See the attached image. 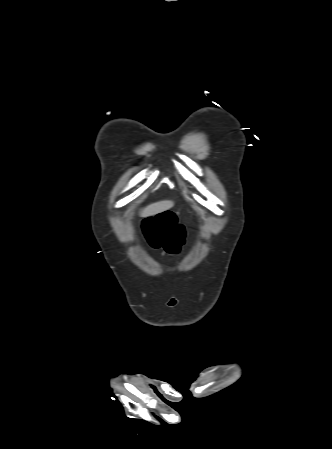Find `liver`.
Segmentation results:
<instances>
[{"label":"liver","mask_w":332,"mask_h":449,"mask_svg":"<svg viewBox=\"0 0 332 449\" xmlns=\"http://www.w3.org/2000/svg\"><path fill=\"white\" fill-rule=\"evenodd\" d=\"M174 206V202L171 200H163L153 204L148 205L141 210V217H149L164 212Z\"/></svg>","instance_id":"6515ba94"}]
</instances>
